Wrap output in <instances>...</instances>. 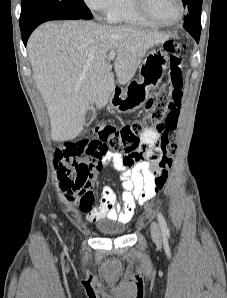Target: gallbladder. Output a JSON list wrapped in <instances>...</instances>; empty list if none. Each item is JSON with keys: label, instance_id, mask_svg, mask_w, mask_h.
Wrapping results in <instances>:
<instances>
[{"label": "gallbladder", "instance_id": "obj_1", "mask_svg": "<svg viewBox=\"0 0 227 298\" xmlns=\"http://www.w3.org/2000/svg\"><path fill=\"white\" fill-rule=\"evenodd\" d=\"M95 115H96V109L93 105H91L86 110V113H85V116H84V125L85 126L90 125L92 123V121L94 120Z\"/></svg>", "mask_w": 227, "mask_h": 298}]
</instances>
